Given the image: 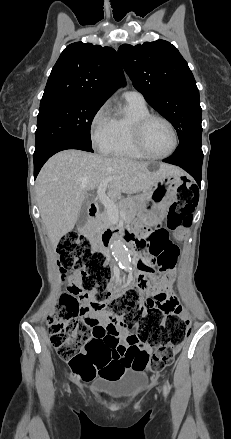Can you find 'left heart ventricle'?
Instances as JSON below:
<instances>
[{
  "label": "left heart ventricle",
  "instance_id": "obj_1",
  "mask_svg": "<svg viewBox=\"0 0 231 439\" xmlns=\"http://www.w3.org/2000/svg\"><path fill=\"white\" fill-rule=\"evenodd\" d=\"M144 139L148 149L157 155L169 152L174 143L171 129L161 120H152L148 124Z\"/></svg>",
  "mask_w": 231,
  "mask_h": 439
}]
</instances>
